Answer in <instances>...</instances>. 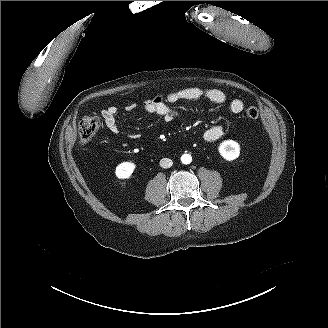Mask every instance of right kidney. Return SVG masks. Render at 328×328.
<instances>
[{
	"label": "right kidney",
	"instance_id": "obj_1",
	"mask_svg": "<svg viewBox=\"0 0 328 328\" xmlns=\"http://www.w3.org/2000/svg\"><path fill=\"white\" fill-rule=\"evenodd\" d=\"M135 169V164L124 162L117 166L116 175L118 178H129Z\"/></svg>",
	"mask_w": 328,
	"mask_h": 328
}]
</instances>
